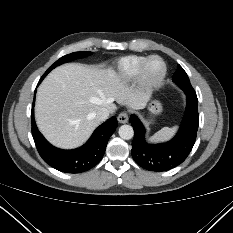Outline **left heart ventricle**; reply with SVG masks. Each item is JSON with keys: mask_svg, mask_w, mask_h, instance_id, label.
I'll return each instance as SVG.
<instances>
[{"mask_svg": "<svg viewBox=\"0 0 233 233\" xmlns=\"http://www.w3.org/2000/svg\"><path fill=\"white\" fill-rule=\"evenodd\" d=\"M162 71V63L157 60L153 59L150 61L148 65V75L150 77H157Z\"/></svg>", "mask_w": 233, "mask_h": 233, "instance_id": "left-heart-ventricle-1", "label": "left heart ventricle"}]
</instances>
